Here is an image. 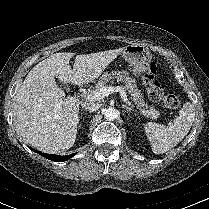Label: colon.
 <instances>
[{
	"label": "colon",
	"mask_w": 209,
	"mask_h": 209,
	"mask_svg": "<svg viewBox=\"0 0 209 209\" xmlns=\"http://www.w3.org/2000/svg\"><path fill=\"white\" fill-rule=\"evenodd\" d=\"M143 84L149 97L156 102H160L163 107L174 110L180 105L179 99L173 94L164 92L160 81L157 78V66L154 62L148 65V70L143 77Z\"/></svg>",
	"instance_id": "5ec220e1"
}]
</instances>
